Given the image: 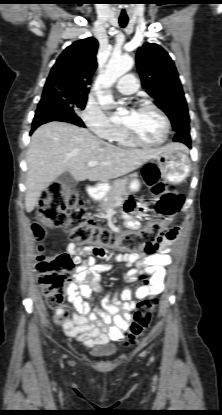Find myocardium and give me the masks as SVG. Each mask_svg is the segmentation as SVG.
<instances>
[{
  "instance_id": "myocardium-1",
  "label": "myocardium",
  "mask_w": 222,
  "mask_h": 415,
  "mask_svg": "<svg viewBox=\"0 0 222 415\" xmlns=\"http://www.w3.org/2000/svg\"><path fill=\"white\" fill-rule=\"evenodd\" d=\"M142 108H151L155 110L162 118L164 125H165V131H164V135L162 139L157 142H147L141 139L131 127L122 124V128L125 131L127 137L135 145L142 146V147H159V146L164 145L167 142L169 135H170V131H171V121L168 115L159 106H157L156 104L148 100H142L138 103L137 109H142Z\"/></svg>"
}]
</instances>
